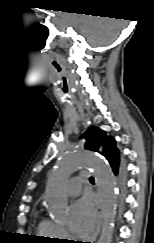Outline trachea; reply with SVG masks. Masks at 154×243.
I'll list each match as a JSON object with an SVG mask.
<instances>
[{
	"label": "trachea",
	"instance_id": "3493384b",
	"mask_svg": "<svg viewBox=\"0 0 154 243\" xmlns=\"http://www.w3.org/2000/svg\"><path fill=\"white\" fill-rule=\"evenodd\" d=\"M89 180H90V182H94V178L93 177H90Z\"/></svg>",
	"mask_w": 154,
	"mask_h": 243
}]
</instances>
